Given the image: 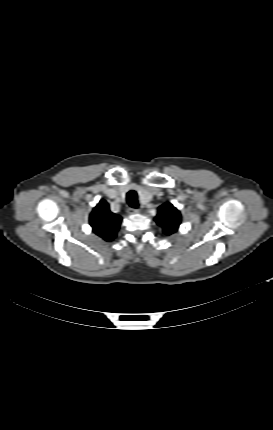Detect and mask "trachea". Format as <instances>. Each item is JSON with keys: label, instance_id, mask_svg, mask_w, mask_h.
Wrapping results in <instances>:
<instances>
[{"label": "trachea", "instance_id": "obj_1", "mask_svg": "<svg viewBox=\"0 0 273 430\" xmlns=\"http://www.w3.org/2000/svg\"><path fill=\"white\" fill-rule=\"evenodd\" d=\"M127 202L131 208L138 207L137 193L133 190L129 191L126 195Z\"/></svg>", "mask_w": 273, "mask_h": 430}]
</instances>
